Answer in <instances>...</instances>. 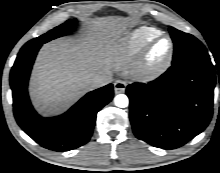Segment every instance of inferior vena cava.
<instances>
[{
	"mask_svg": "<svg viewBox=\"0 0 220 173\" xmlns=\"http://www.w3.org/2000/svg\"><path fill=\"white\" fill-rule=\"evenodd\" d=\"M113 81L112 73L106 71L101 75H98L91 79L90 84L92 89L103 87Z\"/></svg>",
	"mask_w": 220,
	"mask_h": 173,
	"instance_id": "obj_1",
	"label": "inferior vena cava"
}]
</instances>
